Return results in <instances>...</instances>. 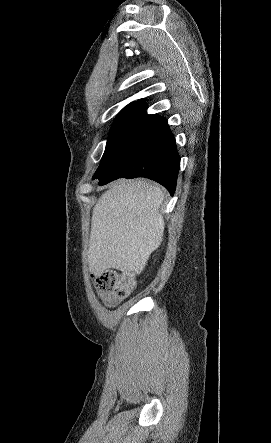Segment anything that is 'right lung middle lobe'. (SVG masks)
Masks as SVG:
<instances>
[{
  "instance_id": "dd1d6c3e",
  "label": "right lung middle lobe",
  "mask_w": 271,
  "mask_h": 443,
  "mask_svg": "<svg viewBox=\"0 0 271 443\" xmlns=\"http://www.w3.org/2000/svg\"><path fill=\"white\" fill-rule=\"evenodd\" d=\"M145 115L144 103H131L120 111L111 127L105 152L95 174L102 172L115 159L124 140Z\"/></svg>"
}]
</instances>
